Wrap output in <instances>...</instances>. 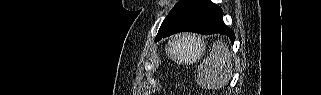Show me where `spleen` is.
Returning <instances> with one entry per match:
<instances>
[{"mask_svg": "<svg viewBox=\"0 0 321 95\" xmlns=\"http://www.w3.org/2000/svg\"><path fill=\"white\" fill-rule=\"evenodd\" d=\"M232 55L224 42H217L198 66L197 84L202 88L224 87L232 77Z\"/></svg>", "mask_w": 321, "mask_h": 95, "instance_id": "obj_1", "label": "spleen"}]
</instances>
